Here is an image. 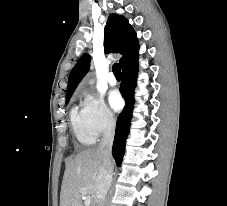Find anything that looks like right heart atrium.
I'll use <instances>...</instances> for the list:
<instances>
[{
	"instance_id": "right-heart-atrium-1",
	"label": "right heart atrium",
	"mask_w": 227,
	"mask_h": 206,
	"mask_svg": "<svg viewBox=\"0 0 227 206\" xmlns=\"http://www.w3.org/2000/svg\"><path fill=\"white\" fill-rule=\"evenodd\" d=\"M82 114L88 130L96 138L114 129L116 118L104 99L98 95L82 92Z\"/></svg>"
}]
</instances>
